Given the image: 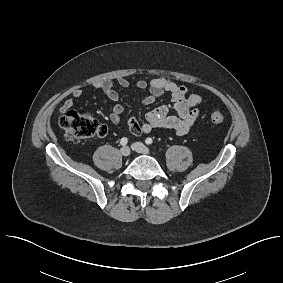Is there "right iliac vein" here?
Returning a JSON list of instances; mask_svg holds the SVG:
<instances>
[{
	"instance_id": "right-iliac-vein-1",
	"label": "right iliac vein",
	"mask_w": 283,
	"mask_h": 283,
	"mask_svg": "<svg viewBox=\"0 0 283 283\" xmlns=\"http://www.w3.org/2000/svg\"><path fill=\"white\" fill-rule=\"evenodd\" d=\"M120 153H121L123 156H129L130 153H131V150H130L129 147L124 146V147L121 148Z\"/></svg>"
}]
</instances>
